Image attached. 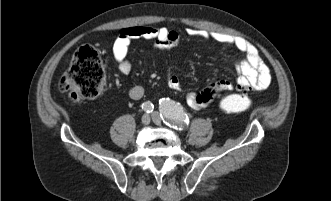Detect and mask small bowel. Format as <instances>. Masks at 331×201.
Returning <instances> with one entry per match:
<instances>
[{"instance_id":"c3829d8e","label":"small bowel","mask_w":331,"mask_h":201,"mask_svg":"<svg viewBox=\"0 0 331 201\" xmlns=\"http://www.w3.org/2000/svg\"><path fill=\"white\" fill-rule=\"evenodd\" d=\"M186 33L190 36L233 46L239 55L236 63L237 78L235 82L226 79L218 80L209 83L199 91L187 92L186 101L190 107L201 109L223 91L233 89L263 91L270 85L271 75L268 66L260 57L257 49L244 38L193 28H188ZM136 39L154 40L158 49H168L179 43L180 36L176 31L165 27L132 26L121 29L114 40L112 54L123 74H129L132 70L128 52L131 42ZM166 81L170 88L183 90L177 74L170 69L166 71ZM128 95L133 100H139L144 95V89L140 85H133L129 88Z\"/></svg>"}]
</instances>
